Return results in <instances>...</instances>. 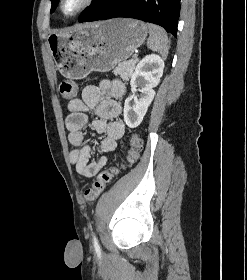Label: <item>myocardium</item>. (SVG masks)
Masks as SVG:
<instances>
[{
  "label": "myocardium",
  "instance_id": "myocardium-1",
  "mask_svg": "<svg viewBox=\"0 0 247 280\" xmlns=\"http://www.w3.org/2000/svg\"><path fill=\"white\" fill-rule=\"evenodd\" d=\"M66 1L67 0L59 1V12L62 15V17L65 19H73V18L77 17L78 15H80L83 11L88 9L95 2V0H82L80 5L74 12H72L70 14H66L64 11V5H65Z\"/></svg>",
  "mask_w": 247,
  "mask_h": 280
}]
</instances>
